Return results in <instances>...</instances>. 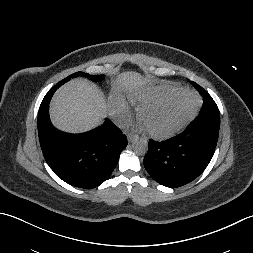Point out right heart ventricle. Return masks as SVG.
Listing matches in <instances>:
<instances>
[{
    "label": "right heart ventricle",
    "instance_id": "right-heart-ventricle-1",
    "mask_svg": "<svg viewBox=\"0 0 253 253\" xmlns=\"http://www.w3.org/2000/svg\"><path fill=\"white\" fill-rule=\"evenodd\" d=\"M178 89L180 87L173 84L157 85L136 90L129 95V99L136 106L142 107L148 103L160 100Z\"/></svg>",
    "mask_w": 253,
    "mask_h": 253
}]
</instances>
